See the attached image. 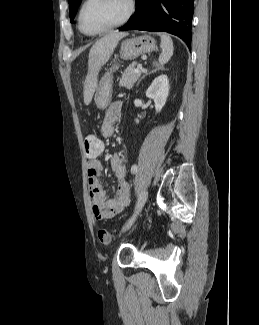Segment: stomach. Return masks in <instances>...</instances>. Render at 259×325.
I'll return each instance as SVG.
<instances>
[{
    "label": "stomach",
    "instance_id": "stomach-1",
    "mask_svg": "<svg viewBox=\"0 0 259 325\" xmlns=\"http://www.w3.org/2000/svg\"><path fill=\"white\" fill-rule=\"evenodd\" d=\"M156 48V41L149 35H142L126 39L121 43L120 57L124 60H133L142 54L152 52ZM119 68L117 64L110 68L100 80L95 94V103L99 109H105L112 98V73Z\"/></svg>",
    "mask_w": 259,
    "mask_h": 325
}]
</instances>
